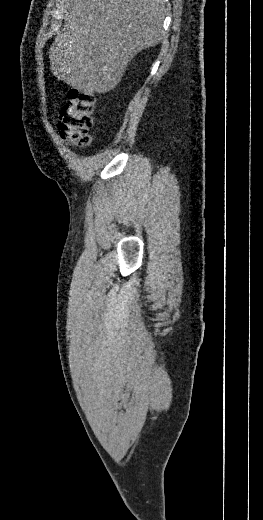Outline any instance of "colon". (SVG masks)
<instances>
[{
  "label": "colon",
  "instance_id": "5ec220e1",
  "mask_svg": "<svg viewBox=\"0 0 263 520\" xmlns=\"http://www.w3.org/2000/svg\"><path fill=\"white\" fill-rule=\"evenodd\" d=\"M95 96L90 90L72 88L66 104L60 111L58 130L62 138L76 147L90 144Z\"/></svg>",
  "mask_w": 263,
  "mask_h": 520
}]
</instances>
